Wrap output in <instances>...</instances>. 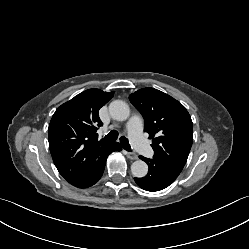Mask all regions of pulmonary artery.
Here are the masks:
<instances>
[{
    "instance_id": "obj_1",
    "label": "pulmonary artery",
    "mask_w": 249,
    "mask_h": 249,
    "mask_svg": "<svg viewBox=\"0 0 249 249\" xmlns=\"http://www.w3.org/2000/svg\"><path fill=\"white\" fill-rule=\"evenodd\" d=\"M128 137L131 144L143 155L151 156L153 154L152 147L148 144L143 134V119L140 115H133L129 119L126 126Z\"/></svg>"
}]
</instances>
